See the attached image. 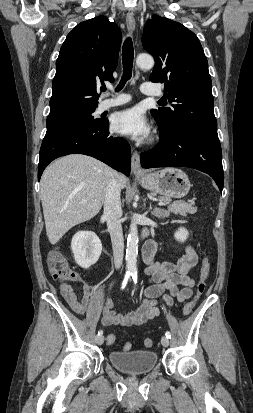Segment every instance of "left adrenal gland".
<instances>
[{"instance_id": "left-adrenal-gland-1", "label": "left adrenal gland", "mask_w": 253, "mask_h": 413, "mask_svg": "<svg viewBox=\"0 0 253 413\" xmlns=\"http://www.w3.org/2000/svg\"><path fill=\"white\" fill-rule=\"evenodd\" d=\"M149 210L151 211V214H152L153 216L157 217V218H163V217L167 216L166 211H164V210H162V209H160V208H157V207H156V208H154L153 211H152V207H151V205H150Z\"/></svg>"}]
</instances>
